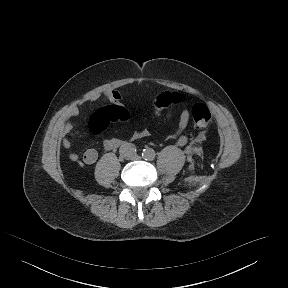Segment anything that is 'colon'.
Returning <instances> with one entry per match:
<instances>
[{"label": "colon", "mask_w": 288, "mask_h": 288, "mask_svg": "<svg viewBox=\"0 0 288 288\" xmlns=\"http://www.w3.org/2000/svg\"><path fill=\"white\" fill-rule=\"evenodd\" d=\"M180 99L171 94H164L157 100L156 108L170 107L178 103ZM128 118L127 112L116 105H110L98 108L89 120V128L93 134L99 135L104 132L111 124L117 121H125ZM194 129L202 132L211 122V114L209 109L200 105L195 107L193 111Z\"/></svg>", "instance_id": "obj_1"}]
</instances>
